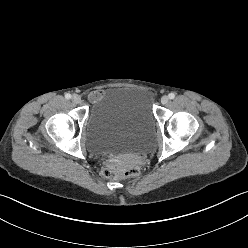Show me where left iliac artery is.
<instances>
[{"mask_svg":"<svg viewBox=\"0 0 248 248\" xmlns=\"http://www.w3.org/2000/svg\"><path fill=\"white\" fill-rule=\"evenodd\" d=\"M169 98H170V99H174V98H175V94L171 92V93L169 94Z\"/></svg>","mask_w":248,"mask_h":248,"instance_id":"obj_1","label":"left iliac artery"}]
</instances>
